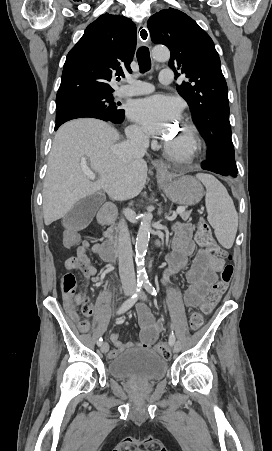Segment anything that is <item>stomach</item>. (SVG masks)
<instances>
[{
  "instance_id": "obj_1",
  "label": "stomach",
  "mask_w": 272,
  "mask_h": 451,
  "mask_svg": "<svg viewBox=\"0 0 272 451\" xmlns=\"http://www.w3.org/2000/svg\"><path fill=\"white\" fill-rule=\"evenodd\" d=\"M158 184H163L164 194L171 202L180 206H195L204 196V188L193 176H175L170 174L162 178L157 174Z\"/></svg>"
}]
</instances>
